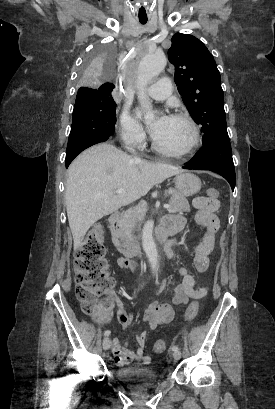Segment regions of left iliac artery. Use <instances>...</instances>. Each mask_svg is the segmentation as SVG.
Segmentation results:
<instances>
[{
	"instance_id": "44dca946",
	"label": "left iliac artery",
	"mask_w": 275,
	"mask_h": 409,
	"mask_svg": "<svg viewBox=\"0 0 275 409\" xmlns=\"http://www.w3.org/2000/svg\"><path fill=\"white\" fill-rule=\"evenodd\" d=\"M172 350H173V351H178L179 348H178V346H175V345H174V346H172Z\"/></svg>"
}]
</instances>
